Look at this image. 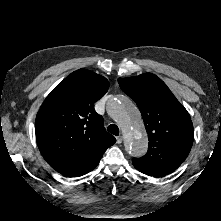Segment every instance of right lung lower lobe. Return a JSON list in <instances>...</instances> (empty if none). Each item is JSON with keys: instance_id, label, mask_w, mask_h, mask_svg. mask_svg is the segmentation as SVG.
I'll use <instances>...</instances> for the list:
<instances>
[{"instance_id": "98d812e1", "label": "right lung lower lobe", "mask_w": 221, "mask_h": 221, "mask_svg": "<svg viewBox=\"0 0 221 221\" xmlns=\"http://www.w3.org/2000/svg\"><path fill=\"white\" fill-rule=\"evenodd\" d=\"M106 149H99L74 159L59 163L53 168L60 174L68 177L82 176L93 170L102 158Z\"/></svg>"}]
</instances>
